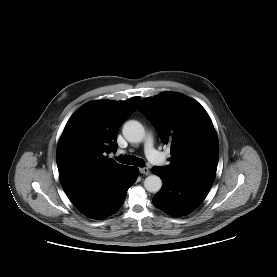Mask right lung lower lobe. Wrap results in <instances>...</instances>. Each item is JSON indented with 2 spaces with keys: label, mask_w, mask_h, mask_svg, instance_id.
<instances>
[{
  "label": "right lung lower lobe",
  "mask_w": 277,
  "mask_h": 277,
  "mask_svg": "<svg viewBox=\"0 0 277 277\" xmlns=\"http://www.w3.org/2000/svg\"><path fill=\"white\" fill-rule=\"evenodd\" d=\"M138 175L137 167L124 166L94 191L71 201L85 216L104 219L121 207L128 188L134 184Z\"/></svg>",
  "instance_id": "1"
}]
</instances>
